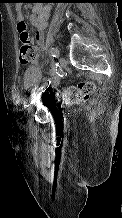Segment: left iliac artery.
<instances>
[{
    "instance_id": "left-iliac-artery-1",
    "label": "left iliac artery",
    "mask_w": 122,
    "mask_h": 218,
    "mask_svg": "<svg viewBox=\"0 0 122 218\" xmlns=\"http://www.w3.org/2000/svg\"><path fill=\"white\" fill-rule=\"evenodd\" d=\"M50 54L53 58L58 57L59 55V50L56 47H52L50 49ZM51 83V78H48L43 85L38 89V94L40 95L42 92H44L46 90V88L50 85ZM36 98V94L33 93L29 99H27V101L24 103V107H28L29 104H31Z\"/></svg>"
}]
</instances>
